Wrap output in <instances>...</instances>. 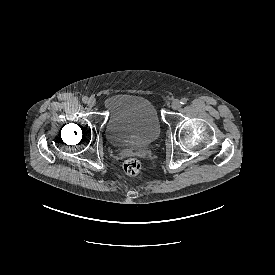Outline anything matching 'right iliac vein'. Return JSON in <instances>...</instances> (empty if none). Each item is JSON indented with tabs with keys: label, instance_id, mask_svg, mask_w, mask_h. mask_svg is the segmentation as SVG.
<instances>
[{
	"label": "right iliac vein",
	"instance_id": "right-iliac-vein-1",
	"mask_svg": "<svg viewBox=\"0 0 275 275\" xmlns=\"http://www.w3.org/2000/svg\"><path fill=\"white\" fill-rule=\"evenodd\" d=\"M96 105V99L95 98H90L88 100V106L89 107H94Z\"/></svg>",
	"mask_w": 275,
	"mask_h": 275
}]
</instances>
